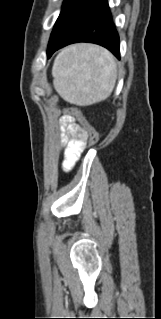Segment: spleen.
<instances>
[{
  "instance_id": "3e777b00",
  "label": "spleen",
  "mask_w": 161,
  "mask_h": 319,
  "mask_svg": "<svg viewBox=\"0 0 161 319\" xmlns=\"http://www.w3.org/2000/svg\"><path fill=\"white\" fill-rule=\"evenodd\" d=\"M52 74L54 88L65 101L88 106L105 100L111 94L117 68L113 55L106 49L78 44L59 53Z\"/></svg>"
}]
</instances>
